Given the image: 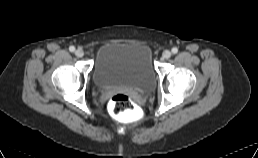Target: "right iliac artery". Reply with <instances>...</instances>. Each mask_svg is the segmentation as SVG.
<instances>
[{
    "label": "right iliac artery",
    "instance_id": "82829eb1",
    "mask_svg": "<svg viewBox=\"0 0 258 158\" xmlns=\"http://www.w3.org/2000/svg\"><path fill=\"white\" fill-rule=\"evenodd\" d=\"M69 51H70V52H74V51H75V47H74V46H70V47H69Z\"/></svg>",
    "mask_w": 258,
    "mask_h": 158
}]
</instances>
